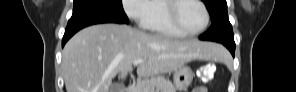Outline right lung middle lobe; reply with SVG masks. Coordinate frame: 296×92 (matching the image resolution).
Segmentation results:
<instances>
[{"label":"right lung middle lobe","instance_id":"right-lung-middle-lobe-1","mask_svg":"<svg viewBox=\"0 0 296 92\" xmlns=\"http://www.w3.org/2000/svg\"><path fill=\"white\" fill-rule=\"evenodd\" d=\"M82 15H101L129 23L122 0H74L72 17Z\"/></svg>","mask_w":296,"mask_h":92}]
</instances>
